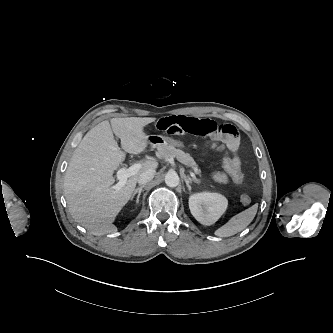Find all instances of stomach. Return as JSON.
<instances>
[{
    "label": "stomach",
    "instance_id": "0dacf381",
    "mask_svg": "<svg viewBox=\"0 0 333 333\" xmlns=\"http://www.w3.org/2000/svg\"><path fill=\"white\" fill-rule=\"evenodd\" d=\"M149 143L156 148L168 146V145H173L177 147H181L182 143L179 141H175L170 137L167 136H157V135H152L148 137Z\"/></svg>",
    "mask_w": 333,
    "mask_h": 333
}]
</instances>
